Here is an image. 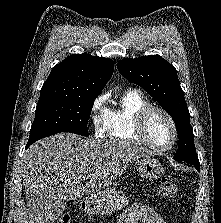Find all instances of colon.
Here are the masks:
<instances>
[{"instance_id": "1", "label": "colon", "mask_w": 221, "mask_h": 223, "mask_svg": "<svg viewBox=\"0 0 221 223\" xmlns=\"http://www.w3.org/2000/svg\"><path fill=\"white\" fill-rule=\"evenodd\" d=\"M158 191L164 198H173L178 195V186L171 179L164 177L161 179ZM55 223H70V220L68 217L62 216Z\"/></svg>"}]
</instances>
